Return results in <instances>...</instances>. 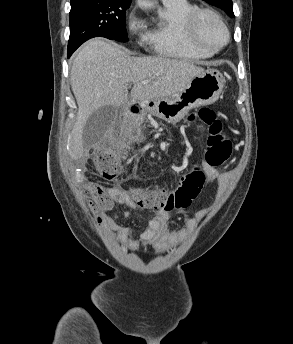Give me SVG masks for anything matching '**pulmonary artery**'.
Returning <instances> with one entry per match:
<instances>
[{
    "label": "pulmonary artery",
    "mask_w": 293,
    "mask_h": 344,
    "mask_svg": "<svg viewBox=\"0 0 293 344\" xmlns=\"http://www.w3.org/2000/svg\"><path fill=\"white\" fill-rule=\"evenodd\" d=\"M171 1H174V0H162V2H171Z\"/></svg>",
    "instance_id": "1"
}]
</instances>
